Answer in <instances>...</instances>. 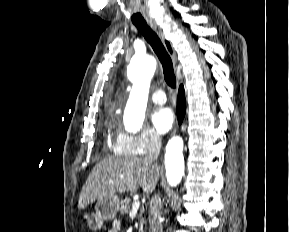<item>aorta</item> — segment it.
<instances>
[{
    "mask_svg": "<svg viewBox=\"0 0 289 232\" xmlns=\"http://www.w3.org/2000/svg\"><path fill=\"white\" fill-rule=\"evenodd\" d=\"M156 69V60L150 55L134 56L129 65L133 87L124 112L125 128L138 132L143 125L150 82ZM166 177L169 185L177 186L184 175L183 140L175 136L166 146Z\"/></svg>",
    "mask_w": 289,
    "mask_h": 232,
    "instance_id": "obj_1",
    "label": "aorta"
}]
</instances>
